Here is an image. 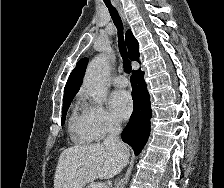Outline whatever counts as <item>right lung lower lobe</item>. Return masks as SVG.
<instances>
[{
    "label": "right lung lower lobe",
    "instance_id": "obj_1",
    "mask_svg": "<svg viewBox=\"0 0 224 188\" xmlns=\"http://www.w3.org/2000/svg\"><path fill=\"white\" fill-rule=\"evenodd\" d=\"M131 76L133 113L122 133V140L129 144L135 155H139L150 134V96L144 82V72L133 71Z\"/></svg>",
    "mask_w": 224,
    "mask_h": 188
}]
</instances>
